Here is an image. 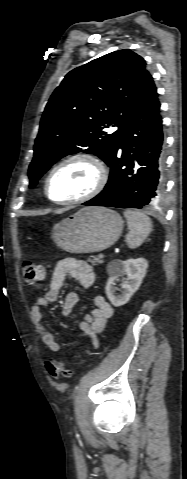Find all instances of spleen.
Masks as SVG:
<instances>
[{"label": "spleen", "instance_id": "3e777b00", "mask_svg": "<svg viewBox=\"0 0 187 479\" xmlns=\"http://www.w3.org/2000/svg\"><path fill=\"white\" fill-rule=\"evenodd\" d=\"M129 233L126 235V243L130 249L139 247L152 231L151 219L143 212L137 210H125Z\"/></svg>", "mask_w": 187, "mask_h": 479}]
</instances>
